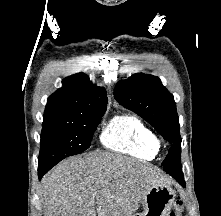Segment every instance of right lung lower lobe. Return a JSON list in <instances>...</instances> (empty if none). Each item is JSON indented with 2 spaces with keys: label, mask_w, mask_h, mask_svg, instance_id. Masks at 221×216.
I'll use <instances>...</instances> for the list:
<instances>
[{
  "label": "right lung lower lobe",
  "mask_w": 221,
  "mask_h": 216,
  "mask_svg": "<svg viewBox=\"0 0 221 216\" xmlns=\"http://www.w3.org/2000/svg\"><path fill=\"white\" fill-rule=\"evenodd\" d=\"M52 166H39L38 167V176H39V179L42 178V176L49 170L51 169Z\"/></svg>",
  "instance_id": "98d812e1"
}]
</instances>
